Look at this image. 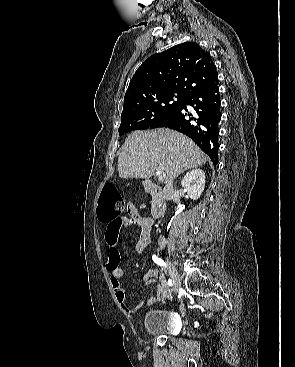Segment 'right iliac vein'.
Segmentation results:
<instances>
[{"label":"right iliac vein","mask_w":295,"mask_h":367,"mask_svg":"<svg viewBox=\"0 0 295 367\" xmlns=\"http://www.w3.org/2000/svg\"><path fill=\"white\" fill-rule=\"evenodd\" d=\"M167 261H168V259H167ZM170 275H171V278H172V281H173L175 291H177L179 286H180V278H179V275H178L176 269L172 265H171Z\"/></svg>","instance_id":"1"}]
</instances>
